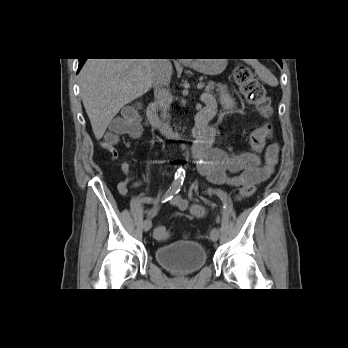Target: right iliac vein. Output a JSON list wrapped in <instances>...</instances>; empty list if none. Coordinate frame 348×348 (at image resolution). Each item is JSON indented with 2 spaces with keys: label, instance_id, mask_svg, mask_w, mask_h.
<instances>
[{
  "label": "right iliac vein",
  "instance_id": "63e3f726",
  "mask_svg": "<svg viewBox=\"0 0 348 348\" xmlns=\"http://www.w3.org/2000/svg\"><path fill=\"white\" fill-rule=\"evenodd\" d=\"M151 226H152L151 220L147 219V220H145L144 223H143V230H144L145 232H148V231L150 230Z\"/></svg>",
  "mask_w": 348,
  "mask_h": 348
}]
</instances>
